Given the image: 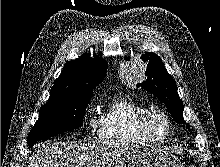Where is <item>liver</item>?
Wrapping results in <instances>:
<instances>
[{"label":"liver","instance_id":"1","mask_svg":"<svg viewBox=\"0 0 220 167\" xmlns=\"http://www.w3.org/2000/svg\"><path fill=\"white\" fill-rule=\"evenodd\" d=\"M128 146L114 142H44L29 158L28 167H111L121 160Z\"/></svg>","mask_w":220,"mask_h":167}]
</instances>
